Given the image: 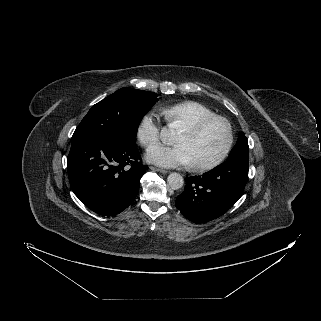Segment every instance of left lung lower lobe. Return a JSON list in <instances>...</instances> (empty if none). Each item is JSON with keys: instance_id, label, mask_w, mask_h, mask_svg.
Listing matches in <instances>:
<instances>
[{"instance_id": "1", "label": "left lung lower lobe", "mask_w": 321, "mask_h": 321, "mask_svg": "<svg viewBox=\"0 0 321 321\" xmlns=\"http://www.w3.org/2000/svg\"><path fill=\"white\" fill-rule=\"evenodd\" d=\"M249 170L248 157H229L203 176L187 178L185 191L175 205L189 220L209 222L222 216L243 194Z\"/></svg>"}]
</instances>
